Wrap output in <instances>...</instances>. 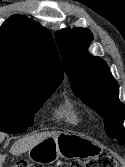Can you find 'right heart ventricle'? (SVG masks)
Listing matches in <instances>:
<instances>
[{"label": "right heart ventricle", "instance_id": "right-heart-ventricle-1", "mask_svg": "<svg viewBox=\"0 0 125 167\" xmlns=\"http://www.w3.org/2000/svg\"><path fill=\"white\" fill-rule=\"evenodd\" d=\"M53 117L57 121H63L70 125L81 122V115L76 107L69 101L61 103L54 111Z\"/></svg>", "mask_w": 125, "mask_h": 167}]
</instances>
